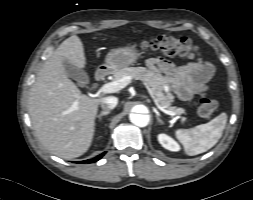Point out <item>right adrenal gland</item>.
I'll use <instances>...</instances> for the list:
<instances>
[{"instance_id":"obj_1","label":"right adrenal gland","mask_w":253,"mask_h":200,"mask_svg":"<svg viewBox=\"0 0 253 200\" xmlns=\"http://www.w3.org/2000/svg\"><path fill=\"white\" fill-rule=\"evenodd\" d=\"M109 113H110L109 110H107V111H102L97 117L99 118V120H101L102 116H106V115H108Z\"/></svg>"}]
</instances>
